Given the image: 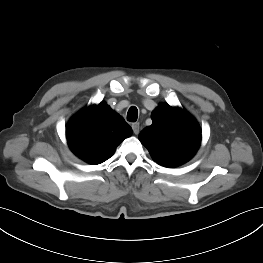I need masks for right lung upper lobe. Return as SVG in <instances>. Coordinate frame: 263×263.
Masks as SVG:
<instances>
[{
	"label": "right lung upper lobe",
	"instance_id": "right-lung-upper-lobe-1",
	"mask_svg": "<svg viewBox=\"0 0 263 263\" xmlns=\"http://www.w3.org/2000/svg\"><path fill=\"white\" fill-rule=\"evenodd\" d=\"M131 133L130 125L105 102L82 109L66 126L72 152L94 165L109 159Z\"/></svg>",
	"mask_w": 263,
	"mask_h": 263
}]
</instances>
